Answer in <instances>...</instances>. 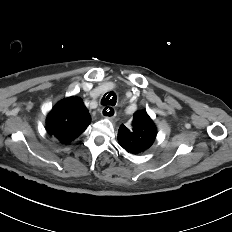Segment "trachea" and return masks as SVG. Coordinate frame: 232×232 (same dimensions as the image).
I'll return each instance as SVG.
<instances>
[{
	"mask_svg": "<svg viewBox=\"0 0 232 232\" xmlns=\"http://www.w3.org/2000/svg\"><path fill=\"white\" fill-rule=\"evenodd\" d=\"M116 99L117 98L114 92H108L101 99V105L114 106L116 104Z\"/></svg>",
	"mask_w": 232,
	"mask_h": 232,
	"instance_id": "1",
	"label": "trachea"
}]
</instances>
